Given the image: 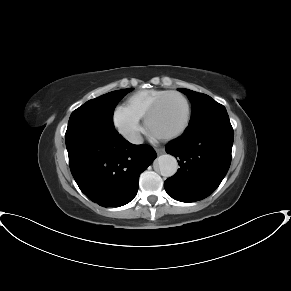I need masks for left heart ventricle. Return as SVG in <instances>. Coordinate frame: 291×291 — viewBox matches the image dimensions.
Instances as JSON below:
<instances>
[{
	"label": "left heart ventricle",
	"instance_id": "b2bd125f",
	"mask_svg": "<svg viewBox=\"0 0 291 291\" xmlns=\"http://www.w3.org/2000/svg\"><path fill=\"white\" fill-rule=\"evenodd\" d=\"M186 116L184 100L179 96H170L152 117L150 131L156 136L173 133L184 124Z\"/></svg>",
	"mask_w": 291,
	"mask_h": 291
}]
</instances>
